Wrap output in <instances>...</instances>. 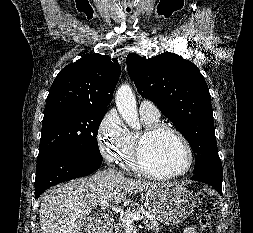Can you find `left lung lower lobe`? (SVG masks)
Masks as SVG:
<instances>
[{
  "instance_id": "1",
  "label": "left lung lower lobe",
  "mask_w": 253,
  "mask_h": 233,
  "mask_svg": "<svg viewBox=\"0 0 253 233\" xmlns=\"http://www.w3.org/2000/svg\"><path fill=\"white\" fill-rule=\"evenodd\" d=\"M222 178L223 175L210 172V171H204L197 174H194L191 177V180L194 181H200L207 184L212 185L220 194H222Z\"/></svg>"
}]
</instances>
